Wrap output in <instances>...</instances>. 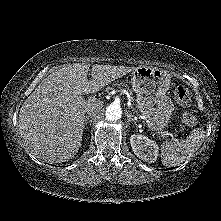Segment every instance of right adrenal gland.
<instances>
[{"mask_svg":"<svg viewBox=\"0 0 221 221\" xmlns=\"http://www.w3.org/2000/svg\"><path fill=\"white\" fill-rule=\"evenodd\" d=\"M91 116H86L84 119V126L88 123V120L90 119Z\"/></svg>","mask_w":221,"mask_h":221,"instance_id":"right-adrenal-gland-1","label":"right adrenal gland"}]
</instances>
